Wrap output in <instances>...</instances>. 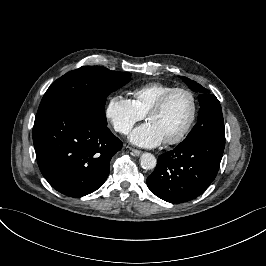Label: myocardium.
Segmentation results:
<instances>
[{
	"label": "myocardium",
	"mask_w": 266,
	"mask_h": 266,
	"mask_svg": "<svg viewBox=\"0 0 266 266\" xmlns=\"http://www.w3.org/2000/svg\"><path fill=\"white\" fill-rule=\"evenodd\" d=\"M177 92H184L190 97L191 102H192V114H191V117L188 123L182 129V131L178 134L177 137L173 139L164 140V143L167 145H177L181 143L186 138L188 133L191 131L193 125L195 124V121L197 119V114H198V101H197L195 93L188 87H184V86L173 87L170 90L163 93L159 97V99L147 110L145 114V118L147 119L150 114L161 112L166 106L169 99Z\"/></svg>",
	"instance_id": "obj_1"
}]
</instances>
